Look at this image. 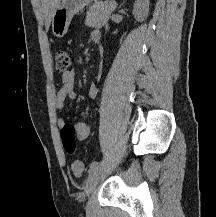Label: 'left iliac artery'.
I'll return each instance as SVG.
<instances>
[{
	"instance_id": "obj_1",
	"label": "left iliac artery",
	"mask_w": 216,
	"mask_h": 217,
	"mask_svg": "<svg viewBox=\"0 0 216 217\" xmlns=\"http://www.w3.org/2000/svg\"><path fill=\"white\" fill-rule=\"evenodd\" d=\"M96 167H98V162L97 161H93L90 165V168H89V173H91Z\"/></svg>"
}]
</instances>
